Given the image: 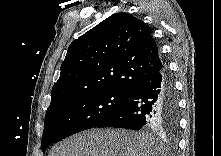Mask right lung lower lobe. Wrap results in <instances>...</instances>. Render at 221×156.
<instances>
[{"instance_id": "1", "label": "right lung lower lobe", "mask_w": 221, "mask_h": 156, "mask_svg": "<svg viewBox=\"0 0 221 156\" xmlns=\"http://www.w3.org/2000/svg\"><path fill=\"white\" fill-rule=\"evenodd\" d=\"M178 120L177 93L172 77L164 67L135 85L126 102L95 127L166 128L176 132Z\"/></svg>"}]
</instances>
